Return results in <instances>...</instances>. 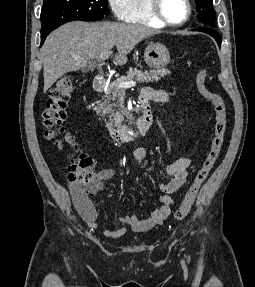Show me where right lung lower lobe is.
Masks as SVG:
<instances>
[{
  "label": "right lung lower lobe",
  "instance_id": "98d812e1",
  "mask_svg": "<svg viewBox=\"0 0 255 287\" xmlns=\"http://www.w3.org/2000/svg\"><path fill=\"white\" fill-rule=\"evenodd\" d=\"M54 29H56V28H54ZM54 29H50V30H46V31H41V45L44 43L46 37H47Z\"/></svg>",
  "mask_w": 255,
  "mask_h": 287
}]
</instances>
